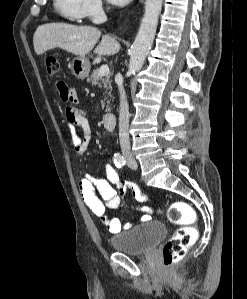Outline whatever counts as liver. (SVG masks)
Wrapping results in <instances>:
<instances>
[{
    "label": "liver",
    "mask_w": 247,
    "mask_h": 299,
    "mask_svg": "<svg viewBox=\"0 0 247 299\" xmlns=\"http://www.w3.org/2000/svg\"><path fill=\"white\" fill-rule=\"evenodd\" d=\"M101 37V31L92 26H78L66 23L40 25L33 36L34 50L42 55L48 50L61 48L76 56L84 57L93 50ZM120 44L109 35L102 36L94 53L110 56L118 53Z\"/></svg>",
    "instance_id": "liver-1"
}]
</instances>
